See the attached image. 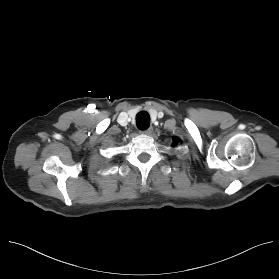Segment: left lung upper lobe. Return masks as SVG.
<instances>
[{
	"label": "left lung upper lobe",
	"instance_id": "obj_1",
	"mask_svg": "<svg viewBox=\"0 0 279 279\" xmlns=\"http://www.w3.org/2000/svg\"><path fill=\"white\" fill-rule=\"evenodd\" d=\"M173 141H174V144H177L179 140L177 138H174Z\"/></svg>",
	"mask_w": 279,
	"mask_h": 279
}]
</instances>
